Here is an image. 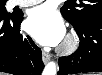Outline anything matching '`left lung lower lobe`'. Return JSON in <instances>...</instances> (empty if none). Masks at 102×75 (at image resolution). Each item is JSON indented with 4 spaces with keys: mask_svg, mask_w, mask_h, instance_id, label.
<instances>
[{
    "mask_svg": "<svg viewBox=\"0 0 102 75\" xmlns=\"http://www.w3.org/2000/svg\"><path fill=\"white\" fill-rule=\"evenodd\" d=\"M73 27L80 45L74 54L59 58V74L102 72V20L80 21Z\"/></svg>",
    "mask_w": 102,
    "mask_h": 75,
    "instance_id": "1",
    "label": "left lung lower lobe"
}]
</instances>
